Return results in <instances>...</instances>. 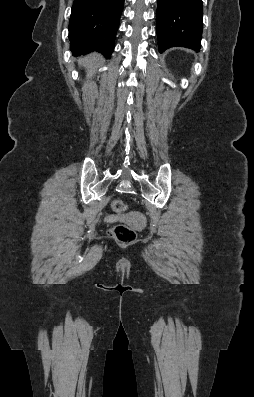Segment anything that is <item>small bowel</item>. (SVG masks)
<instances>
[{"mask_svg":"<svg viewBox=\"0 0 254 397\" xmlns=\"http://www.w3.org/2000/svg\"><path fill=\"white\" fill-rule=\"evenodd\" d=\"M120 218L117 215H109L105 218L107 222H115L118 221Z\"/></svg>","mask_w":254,"mask_h":397,"instance_id":"obj_1","label":"small bowel"}]
</instances>
